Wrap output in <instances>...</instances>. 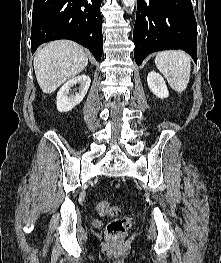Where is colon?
Wrapping results in <instances>:
<instances>
[{
    "label": "colon",
    "instance_id": "obj_1",
    "mask_svg": "<svg viewBox=\"0 0 221 263\" xmlns=\"http://www.w3.org/2000/svg\"><path fill=\"white\" fill-rule=\"evenodd\" d=\"M96 212L100 216H115L118 214L116 206L107 200L100 201L96 206ZM131 227V220L127 217H120L110 221L106 227V235L114 244L121 242Z\"/></svg>",
    "mask_w": 221,
    "mask_h": 263
}]
</instances>
